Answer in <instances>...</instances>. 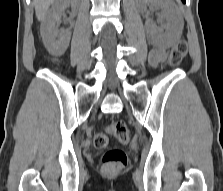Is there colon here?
<instances>
[{
  "instance_id": "colon-1",
  "label": "colon",
  "mask_w": 223,
  "mask_h": 191,
  "mask_svg": "<svg viewBox=\"0 0 223 191\" xmlns=\"http://www.w3.org/2000/svg\"><path fill=\"white\" fill-rule=\"evenodd\" d=\"M181 4L185 0H179ZM187 53V43L184 40L179 41L171 50L169 62L172 66L181 63ZM114 136L119 142L125 144L129 141V131L123 121H117L109 126L105 132L97 133L94 136L93 143L96 148H104L108 144V136ZM127 163V157L121 149H109L102 156V167L107 173H114L123 168Z\"/></svg>"
}]
</instances>
